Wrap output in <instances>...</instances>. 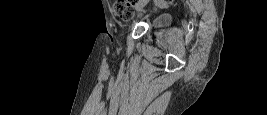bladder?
Listing matches in <instances>:
<instances>
[{"instance_id": "bladder-1", "label": "bladder", "mask_w": 267, "mask_h": 115, "mask_svg": "<svg viewBox=\"0 0 267 115\" xmlns=\"http://www.w3.org/2000/svg\"><path fill=\"white\" fill-rule=\"evenodd\" d=\"M170 23V18L166 14L158 15L154 18L152 22V27L154 28H163Z\"/></svg>"}]
</instances>
